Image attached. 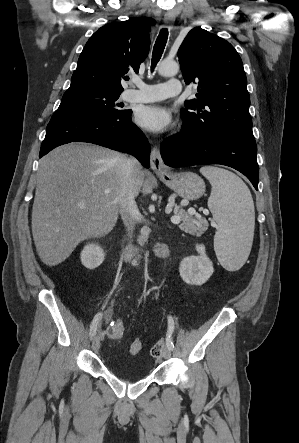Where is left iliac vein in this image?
I'll return each instance as SVG.
<instances>
[{"label":"left iliac vein","instance_id":"4c4485c4","mask_svg":"<svg viewBox=\"0 0 299 443\" xmlns=\"http://www.w3.org/2000/svg\"><path fill=\"white\" fill-rule=\"evenodd\" d=\"M163 357H164L165 359H168V358L171 357V350H170L169 348H166V349L164 350V352H163Z\"/></svg>","mask_w":299,"mask_h":443}]
</instances>
